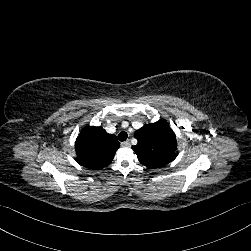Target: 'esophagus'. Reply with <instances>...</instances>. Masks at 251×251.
Wrapping results in <instances>:
<instances>
[{
	"mask_svg": "<svg viewBox=\"0 0 251 251\" xmlns=\"http://www.w3.org/2000/svg\"><path fill=\"white\" fill-rule=\"evenodd\" d=\"M121 145H122V146H128V145H130V141H129V140H126V141H124V142H121Z\"/></svg>",
	"mask_w": 251,
	"mask_h": 251,
	"instance_id": "34e87169",
	"label": "esophagus"
}]
</instances>
